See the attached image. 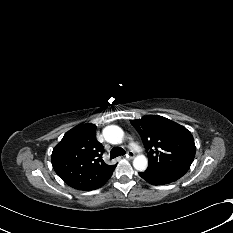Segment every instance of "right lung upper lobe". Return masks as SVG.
Listing matches in <instances>:
<instances>
[{"label":"right lung upper lobe","instance_id":"1","mask_svg":"<svg viewBox=\"0 0 233 233\" xmlns=\"http://www.w3.org/2000/svg\"><path fill=\"white\" fill-rule=\"evenodd\" d=\"M96 125L87 123L67 132L53 149L51 162L57 175L70 187L90 191L103 186L116 165H107L103 146L96 140Z\"/></svg>","mask_w":233,"mask_h":233}]
</instances>
